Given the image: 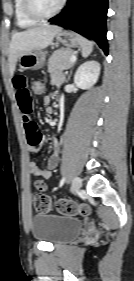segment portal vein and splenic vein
<instances>
[{
	"label": "portal vein and splenic vein",
	"instance_id": "portal-vein-and-splenic-vein-1",
	"mask_svg": "<svg viewBox=\"0 0 134 281\" xmlns=\"http://www.w3.org/2000/svg\"><path fill=\"white\" fill-rule=\"evenodd\" d=\"M77 60V57L75 56V55H73L72 57H71V59H70V62H75Z\"/></svg>",
	"mask_w": 134,
	"mask_h": 281
}]
</instances>
